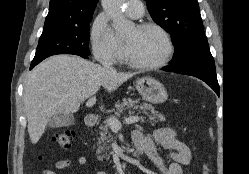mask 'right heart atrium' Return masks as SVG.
<instances>
[{
    "mask_svg": "<svg viewBox=\"0 0 249 174\" xmlns=\"http://www.w3.org/2000/svg\"><path fill=\"white\" fill-rule=\"evenodd\" d=\"M92 48L95 58L101 63H112L116 59V49L110 38L107 22L97 18L91 29Z\"/></svg>",
    "mask_w": 249,
    "mask_h": 174,
    "instance_id": "1",
    "label": "right heart atrium"
}]
</instances>
